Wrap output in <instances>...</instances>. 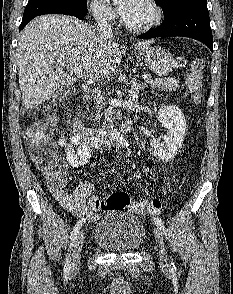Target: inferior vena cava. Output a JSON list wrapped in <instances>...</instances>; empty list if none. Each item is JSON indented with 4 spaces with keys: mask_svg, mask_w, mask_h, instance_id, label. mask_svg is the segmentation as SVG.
Returning a JSON list of instances; mask_svg holds the SVG:
<instances>
[{
    "mask_svg": "<svg viewBox=\"0 0 233 294\" xmlns=\"http://www.w3.org/2000/svg\"><path fill=\"white\" fill-rule=\"evenodd\" d=\"M96 20H97V31L99 34V37L102 40H111L113 36L112 28L109 23V14H108V9L102 7L95 15ZM100 76H97L95 81L98 82L100 81ZM92 97L96 105L97 109V116L96 118L99 119L101 115V109H103L104 106V95L102 90L100 89L99 85L97 87H94L92 90Z\"/></svg>",
    "mask_w": 233,
    "mask_h": 294,
    "instance_id": "obj_1",
    "label": "inferior vena cava"
}]
</instances>
